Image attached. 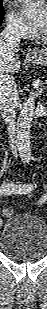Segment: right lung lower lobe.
<instances>
[{"mask_svg": "<svg viewBox=\"0 0 47 309\" xmlns=\"http://www.w3.org/2000/svg\"><path fill=\"white\" fill-rule=\"evenodd\" d=\"M2 23V18H0V24Z\"/></svg>", "mask_w": 47, "mask_h": 309, "instance_id": "1", "label": "right lung lower lobe"}]
</instances>
